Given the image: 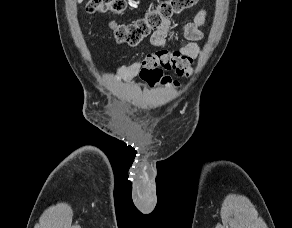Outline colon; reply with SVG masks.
<instances>
[{"label":"colon","instance_id":"5ec220e1","mask_svg":"<svg viewBox=\"0 0 292 228\" xmlns=\"http://www.w3.org/2000/svg\"><path fill=\"white\" fill-rule=\"evenodd\" d=\"M199 0H161L155 8L147 11L144 16L129 24L112 23L111 30L114 38L120 44L136 46L152 31L158 29L164 21L174 14L193 7ZM127 8V0H89L86 9L91 14L113 13L122 14ZM162 69L174 70L179 75L189 76L192 72L184 59L175 52L158 51L148 55L142 61L140 77L149 85L161 81H170L163 77Z\"/></svg>","mask_w":292,"mask_h":228}]
</instances>
